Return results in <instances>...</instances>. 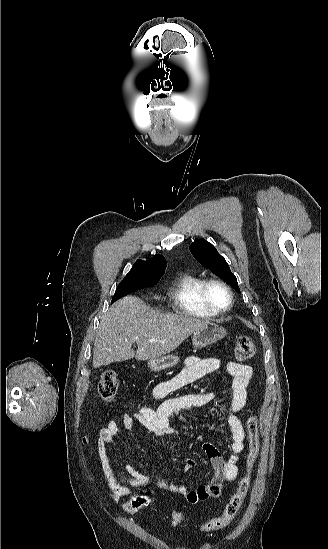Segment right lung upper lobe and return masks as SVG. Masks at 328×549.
<instances>
[{"label":"right lung upper lobe","instance_id":"right-lung-upper-lobe-1","mask_svg":"<svg viewBox=\"0 0 328 549\" xmlns=\"http://www.w3.org/2000/svg\"><path fill=\"white\" fill-rule=\"evenodd\" d=\"M144 268H155L164 271L166 268V261L164 257L160 255H154L148 261L138 260L136 262V265L132 267L130 272L138 271Z\"/></svg>","mask_w":328,"mask_h":549}]
</instances>
